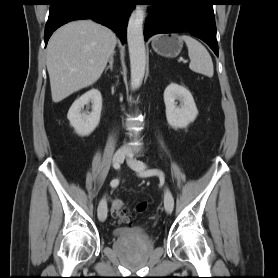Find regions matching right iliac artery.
Here are the masks:
<instances>
[{"instance_id": "right-iliac-artery-1", "label": "right iliac artery", "mask_w": 278, "mask_h": 278, "mask_svg": "<svg viewBox=\"0 0 278 278\" xmlns=\"http://www.w3.org/2000/svg\"><path fill=\"white\" fill-rule=\"evenodd\" d=\"M119 167H120V165L114 164V168H115V169H119ZM118 183H119L118 179H113V180L111 181L110 185H111L112 187H116V186L118 185Z\"/></svg>"}]
</instances>
